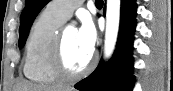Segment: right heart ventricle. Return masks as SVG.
I'll return each mask as SVG.
<instances>
[{
    "label": "right heart ventricle",
    "mask_w": 173,
    "mask_h": 91,
    "mask_svg": "<svg viewBox=\"0 0 173 91\" xmlns=\"http://www.w3.org/2000/svg\"><path fill=\"white\" fill-rule=\"evenodd\" d=\"M64 21L49 9L44 10L33 23L24 52L23 72L29 80L51 85L60 78L49 65V56L54 39Z\"/></svg>",
    "instance_id": "obj_1"
}]
</instances>
